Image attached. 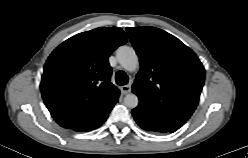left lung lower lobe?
Here are the masks:
<instances>
[{
	"instance_id": "0a47b994",
	"label": "left lung lower lobe",
	"mask_w": 248,
	"mask_h": 158,
	"mask_svg": "<svg viewBox=\"0 0 248 158\" xmlns=\"http://www.w3.org/2000/svg\"><path fill=\"white\" fill-rule=\"evenodd\" d=\"M132 115L138 125L147 131H156V132H171L165 128V126L158 120L147 115L138 108L132 110Z\"/></svg>"
}]
</instances>
